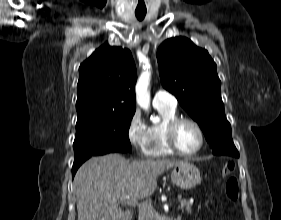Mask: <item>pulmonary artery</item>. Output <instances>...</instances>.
<instances>
[{"label": "pulmonary artery", "mask_w": 281, "mask_h": 220, "mask_svg": "<svg viewBox=\"0 0 281 220\" xmlns=\"http://www.w3.org/2000/svg\"><path fill=\"white\" fill-rule=\"evenodd\" d=\"M153 105L155 107L176 108L177 99L168 91L158 90L153 96Z\"/></svg>", "instance_id": "e3ab8cb5"}]
</instances>
